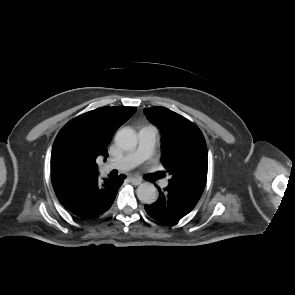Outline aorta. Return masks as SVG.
Listing matches in <instances>:
<instances>
[{
    "instance_id": "aorta-1",
    "label": "aorta",
    "mask_w": 295,
    "mask_h": 295,
    "mask_svg": "<svg viewBox=\"0 0 295 295\" xmlns=\"http://www.w3.org/2000/svg\"><path fill=\"white\" fill-rule=\"evenodd\" d=\"M115 143L123 150H133L138 144L137 135L131 128H122L116 133ZM136 193L142 203L153 204L157 200V189L151 183L140 184Z\"/></svg>"
}]
</instances>
